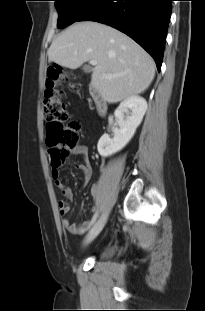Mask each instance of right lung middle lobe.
<instances>
[{
    "instance_id": "right-lung-middle-lobe-1",
    "label": "right lung middle lobe",
    "mask_w": 205,
    "mask_h": 311,
    "mask_svg": "<svg viewBox=\"0 0 205 311\" xmlns=\"http://www.w3.org/2000/svg\"><path fill=\"white\" fill-rule=\"evenodd\" d=\"M58 11V28L76 22L97 0H54Z\"/></svg>"
}]
</instances>
